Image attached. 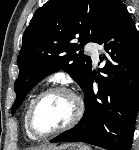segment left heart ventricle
I'll list each match as a JSON object with an SVG mask.
<instances>
[{"mask_svg": "<svg viewBox=\"0 0 139 150\" xmlns=\"http://www.w3.org/2000/svg\"><path fill=\"white\" fill-rule=\"evenodd\" d=\"M75 112L72 97L63 92L45 96L38 104L34 114V127L45 133L65 125Z\"/></svg>", "mask_w": 139, "mask_h": 150, "instance_id": "obj_1", "label": "left heart ventricle"}]
</instances>
